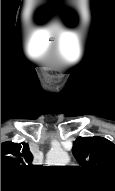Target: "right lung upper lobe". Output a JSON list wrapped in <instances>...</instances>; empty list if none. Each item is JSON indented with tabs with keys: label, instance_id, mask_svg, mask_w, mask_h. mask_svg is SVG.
<instances>
[{
	"label": "right lung upper lobe",
	"instance_id": "cb5924a9",
	"mask_svg": "<svg viewBox=\"0 0 115 191\" xmlns=\"http://www.w3.org/2000/svg\"><path fill=\"white\" fill-rule=\"evenodd\" d=\"M27 143H1V179H15L32 166Z\"/></svg>",
	"mask_w": 115,
	"mask_h": 191
}]
</instances>
